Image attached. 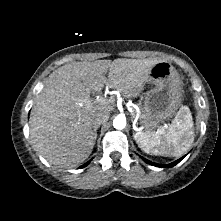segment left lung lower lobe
<instances>
[{
	"instance_id": "0a47b994",
	"label": "left lung lower lobe",
	"mask_w": 221,
	"mask_h": 221,
	"mask_svg": "<svg viewBox=\"0 0 221 221\" xmlns=\"http://www.w3.org/2000/svg\"><path fill=\"white\" fill-rule=\"evenodd\" d=\"M185 156H186V155H185ZM185 156L181 157V158L178 159L177 161L172 162V163H170V164H168V165L156 164V163H153V162H151V161H149V160H147V159H145V158H143V157H141V158H142L146 163H148V164H150V165H154V166H156V167H161V168H163V167H173V166H175V165L178 164Z\"/></svg>"
}]
</instances>
